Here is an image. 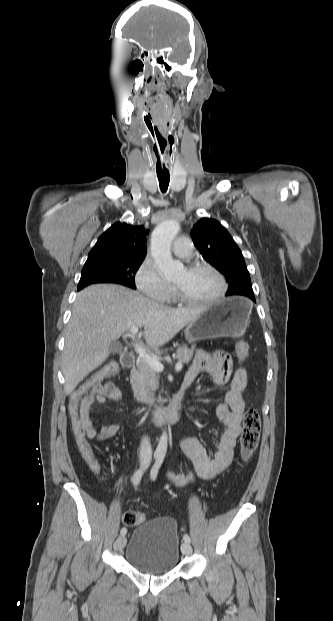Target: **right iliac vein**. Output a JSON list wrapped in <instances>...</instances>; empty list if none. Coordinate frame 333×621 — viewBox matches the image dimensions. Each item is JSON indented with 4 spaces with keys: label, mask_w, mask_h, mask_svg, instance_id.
I'll use <instances>...</instances> for the list:
<instances>
[{
    "label": "right iliac vein",
    "mask_w": 333,
    "mask_h": 621,
    "mask_svg": "<svg viewBox=\"0 0 333 621\" xmlns=\"http://www.w3.org/2000/svg\"><path fill=\"white\" fill-rule=\"evenodd\" d=\"M126 541H127V539H126V537H125V536L118 537V539H117V540L115 541V543H114V549H115L116 551H121V550H123V548H124V547H125V545H126Z\"/></svg>",
    "instance_id": "obj_1"
}]
</instances>
